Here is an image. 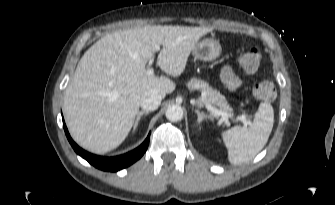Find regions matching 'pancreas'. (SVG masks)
I'll return each mask as SVG.
<instances>
[{
  "instance_id": "obj_1",
  "label": "pancreas",
  "mask_w": 335,
  "mask_h": 205,
  "mask_svg": "<svg viewBox=\"0 0 335 205\" xmlns=\"http://www.w3.org/2000/svg\"><path fill=\"white\" fill-rule=\"evenodd\" d=\"M187 87L190 90H199L205 96H201L197 104L198 105H206L211 104L217 106L220 110L226 112L227 114L233 117V109L228 104L226 98L220 94L219 91L213 89L209 84L201 79L191 78L188 83Z\"/></svg>"
}]
</instances>
